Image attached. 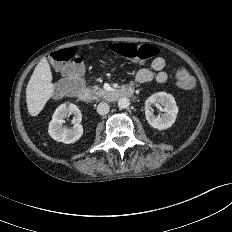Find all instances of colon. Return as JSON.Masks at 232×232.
<instances>
[{
    "label": "colon",
    "instance_id": "obj_1",
    "mask_svg": "<svg viewBox=\"0 0 232 232\" xmlns=\"http://www.w3.org/2000/svg\"><path fill=\"white\" fill-rule=\"evenodd\" d=\"M111 51L135 62H145L158 54L157 47L153 45L124 42L113 44ZM49 59L60 68L62 74V78L56 86V94L63 96L77 93L82 86V60L76 57L74 51L69 48L52 52ZM175 81L182 89H191L195 83L194 77L183 66L176 69Z\"/></svg>",
    "mask_w": 232,
    "mask_h": 232
}]
</instances>
